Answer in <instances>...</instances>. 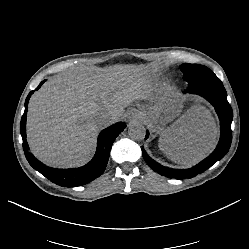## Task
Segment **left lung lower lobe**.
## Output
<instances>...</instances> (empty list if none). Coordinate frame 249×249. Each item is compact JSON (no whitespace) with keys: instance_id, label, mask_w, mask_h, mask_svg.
<instances>
[{"instance_id":"1","label":"left lung lower lobe","mask_w":249,"mask_h":249,"mask_svg":"<svg viewBox=\"0 0 249 249\" xmlns=\"http://www.w3.org/2000/svg\"><path fill=\"white\" fill-rule=\"evenodd\" d=\"M185 93L197 94L209 101L215 108L220 120V140L216 149L203 161L190 169H172L155 162L142 148V155L146 163L157 173L168 178L185 179L192 178L214 165L228 152L231 141V122L233 112L227 101V93L222 82H205L186 89ZM149 133L146 132V138Z\"/></svg>"}]
</instances>
